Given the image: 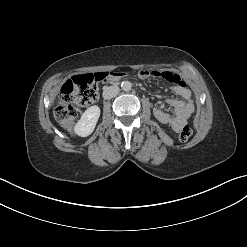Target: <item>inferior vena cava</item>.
Segmentation results:
<instances>
[{
    "label": "inferior vena cava",
    "instance_id": "1",
    "mask_svg": "<svg viewBox=\"0 0 247 247\" xmlns=\"http://www.w3.org/2000/svg\"><path fill=\"white\" fill-rule=\"evenodd\" d=\"M120 89L118 86H105L103 88V98L104 99H111L118 95Z\"/></svg>",
    "mask_w": 247,
    "mask_h": 247
}]
</instances>
